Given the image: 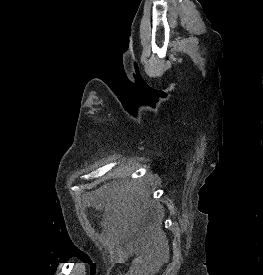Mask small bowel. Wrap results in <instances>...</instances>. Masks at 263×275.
Returning <instances> with one entry per match:
<instances>
[{
    "label": "small bowel",
    "mask_w": 263,
    "mask_h": 275,
    "mask_svg": "<svg viewBox=\"0 0 263 275\" xmlns=\"http://www.w3.org/2000/svg\"><path fill=\"white\" fill-rule=\"evenodd\" d=\"M103 225L111 229L115 235L119 233L109 219L104 220ZM134 253L136 257L131 262L128 270L117 275H146V272L152 268L149 266L147 259L140 252L138 245L132 242H128L124 247H119L116 250V262L120 264L126 263L128 258Z\"/></svg>",
    "instance_id": "obj_1"
}]
</instances>
